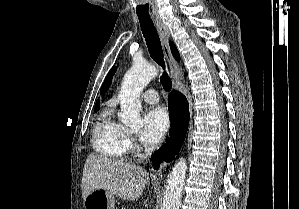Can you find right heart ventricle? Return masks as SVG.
<instances>
[{
	"instance_id": "1",
	"label": "right heart ventricle",
	"mask_w": 299,
	"mask_h": 209,
	"mask_svg": "<svg viewBox=\"0 0 299 209\" xmlns=\"http://www.w3.org/2000/svg\"><path fill=\"white\" fill-rule=\"evenodd\" d=\"M94 149L107 157L124 159L130 151L128 132L110 114L100 118L93 131Z\"/></svg>"
}]
</instances>
